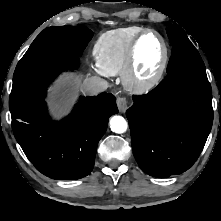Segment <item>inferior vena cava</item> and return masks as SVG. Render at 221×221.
Listing matches in <instances>:
<instances>
[{"label": "inferior vena cava", "instance_id": "inferior-vena-cava-1", "mask_svg": "<svg viewBox=\"0 0 221 221\" xmlns=\"http://www.w3.org/2000/svg\"><path fill=\"white\" fill-rule=\"evenodd\" d=\"M86 90L92 94H98L105 91L108 88V83L106 80L92 76L86 79L85 81Z\"/></svg>", "mask_w": 221, "mask_h": 221}]
</instances>
